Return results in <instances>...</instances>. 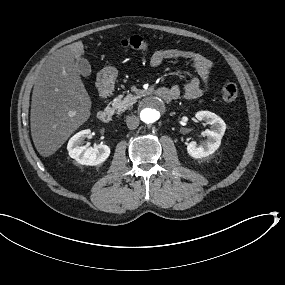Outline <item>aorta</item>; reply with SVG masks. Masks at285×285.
Wrapping results in <instances>:
<instances>
[{"instance_id": "aorta-1", "label": "aorta", "mask_w": 285, "mask_h": 285, "mask_svg": "<svg viewBox=\"0 0 285 285\" xmlns=\"http://www.w3.org/2000/svg\"><path fill=\"white\" fill-rule=\"evenodd\" d=\"M138 114L144 123L149 125H156L165 119L167 114V107L161 98L156 96H149L140 102L138 107Z\"/></svg>"}]
</instances>
